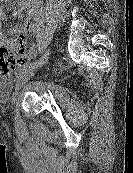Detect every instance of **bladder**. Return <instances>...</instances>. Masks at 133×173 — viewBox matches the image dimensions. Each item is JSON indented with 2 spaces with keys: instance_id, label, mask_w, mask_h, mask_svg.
Returning a JSON list of instances; mask_svg holds the SVG:
<instances>
[{
  "instance_id": "1",
  "label": "bladder",
  "mask_w": 133,
  "mask_h": 173,
  "mask_svg": "<svg viewBox=\"0 0 133 173\" xmlns=\"http://www.w3.org/2000/svg\"><path fill=\"white\" fill-rule=\"evenodd\" d=\"M12 85L11 75H4L0 77V97L5 98L8 95Z\"/></svg>"
}]
</instances>
